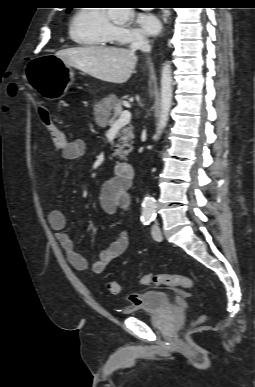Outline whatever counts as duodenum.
I'll use <instances>...</instances> for the list:
<instances>
[{
    "label": "duodenum",
    "mask_w": 255,
    "mask_h": 387,
    "mask_svg": "<svg viewBox=\"0 0 255 387\" xmlns=\"http://www.w3.org/2000/svg\"><path fill=\"white\" fill-rule=\"evenodd\" d=\"M115 172L121 180L129 183L134 177L135 169L130 161H122L115 166Z\"/></svg>",
    "instance_id": "410a0bca"
}]
</instances>
